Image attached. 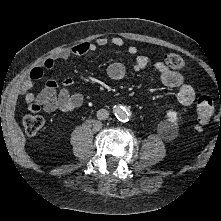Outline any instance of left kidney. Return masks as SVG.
<instances>
[{"mask_svg":"<svg viewBox=\"0 0 221 221\" xmlns=\"http://www.w3.org/2000/svg\"><path fill=\"white\" fill-rule=\"evenodd\" d=\"M167 120L172 124L176 125L178 122V114L176 111L169 110L166 114Z\"/></svg>","mask_w":221,"mask_h":221,"instance_id":"5707ae66","label":"left kidney"}]
</instances>
